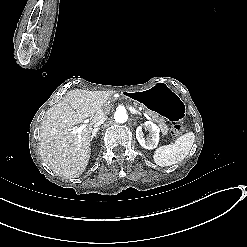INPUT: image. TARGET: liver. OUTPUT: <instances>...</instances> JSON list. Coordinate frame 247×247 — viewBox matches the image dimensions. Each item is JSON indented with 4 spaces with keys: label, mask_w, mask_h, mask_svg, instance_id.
Returning <instances> with one entry per match:
<instances>
[{
    "label": "liver",
    "mask_w": 247,
    "mask_h": 247,
    "mask_svg": "<svg viewBox=\"0 0 247 247\" xmlns=\"http://www.w3.org/2000/svg\"><path fill=\"white\" fill-rule=\"evenodd\" d=\"M107 99L102 91L75 89L46 111L41 121L39 151L44 164L56 175L71 179L84 172L91 155L92 127L106 117ZM86 118L90 120L79 140L72 131Z\"/></svg>",
    "instance_id": "1"
}]
</instances>
